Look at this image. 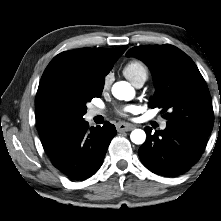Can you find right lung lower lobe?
<instances>
[{
  "instance_id": "98d812e1",
  "label": "right lung lower lobe",
  "mask_w": 221,
  "mask_h": 221,
  "mask_svg": "<svg viewBox=\"0 0 221 221\" xmlns=\"http://www.w3.org/2000/svg\"><path fill=\"white\" fill-rule=\"evenodd\" d=\"M115 135V126L109 122L102 127H89L83 120L47 154L52 164L70 179L84 180L101 167Z\"/></svg>"
}]
</instances>
